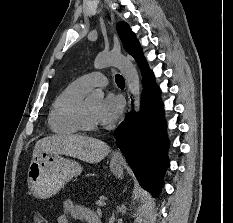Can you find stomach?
Instances as JSON below:
<instances>
[{
    "mask_svg": "<svg viewBox=\"0 0 233 223\" xmlns=\"http://www.w3.org/2000/svg\"><path fill=\"white\" fill-rule=\"evenodd\" d=\"M110 169L117 177H122L123 167L120 159H111ZM81 163L61 153H38L31 159L28 167V187L37 199H48L56 195L67 181H71L82 173Z\"/></svg>",
    "mask_w": 233,
    "mask_h": 223,
    "instance_id": "0dacf381",
    "label": "stomach"
}]
</instances>
